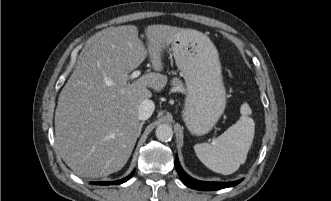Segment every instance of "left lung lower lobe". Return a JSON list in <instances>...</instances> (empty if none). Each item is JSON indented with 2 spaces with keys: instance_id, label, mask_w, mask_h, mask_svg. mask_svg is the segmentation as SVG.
Here are the masks:
<instances>
[{
  "instance_id": "left-lung-lower-lobe-1",
  "label": "left lung lower lobe",
  "mask_w": 331,
  "mask_h": 201,
  "mask_svg": "<svg viewBox=\"0 0 331 201\" xmlns=\"http://www.w3.org/2000/svg\"><path fill=\"white\" fill-rule=\"evenodd\" d=\"M175 168L183 183L188 187L196 190H203V191L219 190V189L235 186L242 181V180H238L234 182H203L193 179L183 171L177 156L175 158Z\"/></svg>"
}]
</instances>
